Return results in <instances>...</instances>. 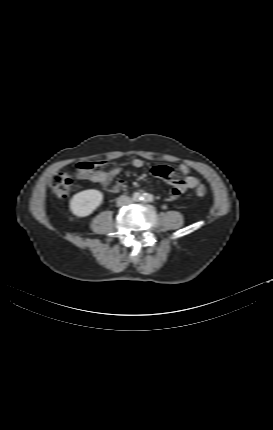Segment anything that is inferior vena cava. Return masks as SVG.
<instances>
[{"label": "inferior vena cava", "instance_id": "1", "mask_svg": "<svg viewBox=\"0 0 273 430\" xmlns=\"http://www.w3.org/2000/svg\"><path fill=\"white\" fill-rule=\"evenodd\" d=\"M131 203H132V199L128 196L122 195L117 199V205L118 206L129 205Z\"/></svg>", "mask_w": 273, "mask_h": 430}]
</instances>
